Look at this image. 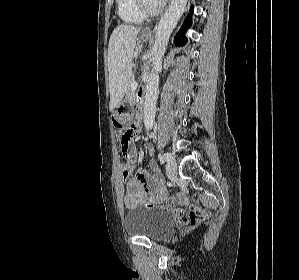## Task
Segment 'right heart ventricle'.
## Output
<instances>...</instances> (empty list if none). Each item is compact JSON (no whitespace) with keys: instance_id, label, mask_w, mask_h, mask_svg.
<instances>
[{"instance_id":"right-heart-ventricle-1","label":"right heart ventricle","mask_w":299,"mask_h":280,"mask_svg":"<svg viewBox=\"0 0 299 280\" xmlns=\"http://www.w3.org/2000/svg\"><path fill=\"white\" fill-rule=\"evenodd\" d=\"M117 13L120 19L127 24H140L145 16L138 10L136 0H116Z\"/></svg>"}]
</instances>
